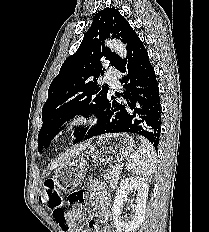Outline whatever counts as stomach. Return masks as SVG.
Segmentation results:
<instances>
[{
  "instance_id": "obj_1",
  "label": "stomach",
  "mask_w": 209,
  "mask_h": 232,
  "mask_svg": "<svg viewBox=\"0 0 209 232\" xmlns=\"http://www.w3.org/2000/svg\"><path fill=\"white\" fill-rule=\"evenodd\" d=\"M134 148V140L128 134L102 135L88 146L86 155L81 154L79 157L61 165L53 176L54 183L60 190H73L83 180L87 166L86 156L92 162L113 163L127 158L133 153Z\"/></svg>"
}]
</instances>
